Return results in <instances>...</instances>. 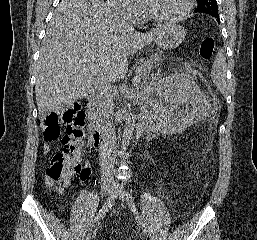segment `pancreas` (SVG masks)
I'll list each match as a JSON object with an SVG mask.
<instances>
[{
  "label": "pancreas",
  "mask_w": 257,
  "mask_h": 240,
  "mask_svg": "<svg viewBox=\"0 0 257 240\" xmlns=\"http://www.w3.org/2000/svg\"><path fill=\"white\" fill-rule=\"evenodd\" d=\"M160 57L158 54H155L154 56L150 57L149 59L145 60L137 69V82L134 83L136 87H138V84L142 79H147L150 72L156 67V65L159 63ZM112 94H110L107 90H99L96 92L95 97L90 101L89 108L97 114L100 118L103 117L106 113V111L110 108L112 105Z\"/></svg>",
  "instance_id": "pancreas-1"
}]
</instances>
